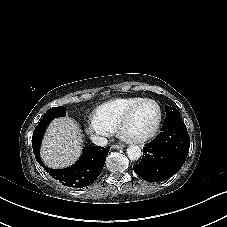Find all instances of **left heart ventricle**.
I'll return each instance as SVG.
<instances>
[{
    "label": "left heart ventricle",
    "instance_id": "obj_1",
    "mask_svg": "<svg viewBox=\"0 0 227 227\" xmlns=\"http://www.w3.org/2000/svg\"><path fill=\"white\" fill-rule=\"evenodd\" d=\"M158 109L154 104L144 103L132 114L125 126V133L132 135H146L155 126Z\"/></svg>",
    "mask_w": 227,
    "mask_h": 227
}]
</instances>
